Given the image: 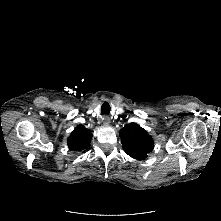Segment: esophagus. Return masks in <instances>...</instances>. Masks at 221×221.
<instances>
[{"mask_svg":"<svg viewBox=\"0 0 221 221\" xmlns=\"http://www.w3.org/2000/svg\"><path fill=\"white\" fill-rule=\"evenodd\" d=\"M102 121H103V124L106 125V126L110 125V123H111V120H110L109 116H104Z\"/></svg>","mask_w":221,"mask_h":221,"instance_id":"esophagus-1","label":"esophagus"}]
</instances>
